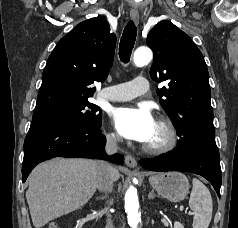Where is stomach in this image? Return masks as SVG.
Masks as SVG:
<instances>
[{
	"mask_svg": "<svg viewBox=\"0 0 238 228\" xmlns=\"http://www.w3.org/2000/svg\"><path fill=\"white\" fill-rule=\"evenodd\" d=\"M149 183L158 194L171 202H179L189 193V181L180 172L155 173L149 177Z\"/></svg>",
	"mask_w": 238,
	"mask_h": 228,
	"instance_id": "0dacf381",
	"label": "stomach"
}]
</instances>
